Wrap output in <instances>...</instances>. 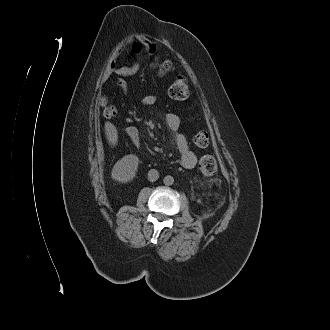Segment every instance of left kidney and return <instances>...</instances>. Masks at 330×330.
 Here are the masks:
<instances>
[{
  "label": "left kidney",
  "mask_w": 330,
  "mask_h": 330,
  "mask_svg": "<svg viewBox=\"0 0 330 330\" xmlns=\"http://www.w3.org/2000/svg\"><path fill=\"white\" fill-rule=\"evenodd\" d=\"M209 216H211L210 213H204V214H203V218H208Z\"/></svg>",
  "instance_id": "obj_1"
}]
</instances>
